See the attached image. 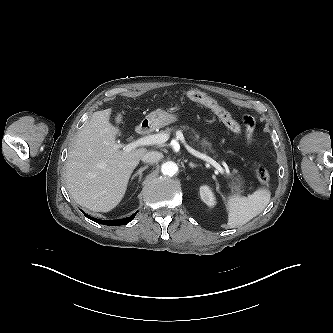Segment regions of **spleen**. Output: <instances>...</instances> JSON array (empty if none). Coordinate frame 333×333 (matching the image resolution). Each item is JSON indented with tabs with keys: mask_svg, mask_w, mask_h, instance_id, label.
Returning <instances> with one entry per match:
<instances>
[{
	"mask_svg": "<svg viewBox=\"0 0 333 333\" xmlns=\"http://www.w3.org/2000/svg\"><path fill=\"white\" fill-rule=\"evenodd\" d=\"M270 197L267 189H258L248 197L230 195L226 203L228 227H240L259 215L270 202Z\"/></svg>",
	"mask_w": 333,
	"mask_h": 333,
	"instance_id": "3e777b00",
	"label": "spleen"
}]
</instances>
